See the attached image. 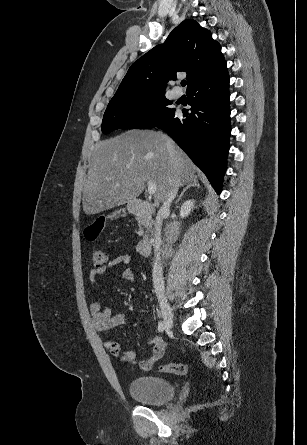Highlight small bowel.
<instances>
[{
  "instance_id": "c3829d8e",
  "label": "small bowel",
  "mask_w": 307,
  "mask_h": 445,
  "mask_svg": "<svg viewBox=\"0 0 307 445\" xmlns=\"http://www.w3.org/2000/svg\"><path fill=\"white\" fill-rule=\"evenodd\" d=\"M130 264L131 256L129 254L118 255L111 259L106 266L92 269L88 275V281L91 285L95 286L99 276H103L110 269L119 266L125 268L122 272V277L131 281L134 279V273L129 267ZM89 311L92 315V322L95 329L102 335L111 328L128 324L132 319L138 320L137 316L132 317L121 313L113 314L108 307H105L98 301H93L89 304ZM150 344L152 347L150 355L140 362V367L143 370L151 369L161 359L165 351L164 341L160 336L152 338ZM105 346L112 355L119 356L120 361L123 363L128 364L135 360L136 354L133 350H121L120 345L115 341L105 340Z\"/></svg>"
}]
</instances>
